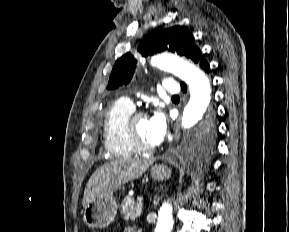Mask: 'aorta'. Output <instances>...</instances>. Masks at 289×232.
<instances>
[{"label": "aorta", "instance_id": "obj_1", "mask_svg": "<svg viewBox=\"0 0 289 232\" xmlns=\"http://www.w3.org/2000/svg\"><path fill=\"white\" fill-rule=\"evenodd\" d=\"M151 64L173 73L188 84L190 99L184 108L181 123L185 129L195 126L206 114L211 100V85L204 72L189 62L167 54L153 57ZM173 224L172 207L164 203L158 212L155 232H171Z\"/></svg>", "mask_w": 289, "mask_h": 232}]
</instances>
